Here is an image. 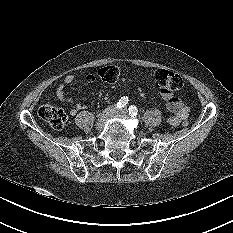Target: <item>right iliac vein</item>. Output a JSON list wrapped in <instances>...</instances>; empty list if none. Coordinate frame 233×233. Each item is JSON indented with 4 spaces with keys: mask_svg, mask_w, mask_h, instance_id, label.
Masks as SVG:
<instances>
[{
    "mask_svg": "<svg viewBox=\"0 0 233 233\" xmlns=\"http://www.w3.org/2000/svg\"><path fill=\"white\" fill-rule=\"evenodd\" d=\"M116 112V110L113 107L106 108L101 115L99 116L97 123H96V129L102 130L106 121L113 116V114Z\"/></svg>",
    "mask_w": 233,
    "mask_h": 233,
    "instance_id": "63e3f726",
    "label": "right iliac vein"
}]
</instances>
